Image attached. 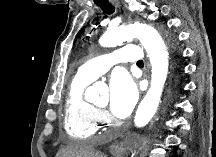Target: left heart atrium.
<instances>
[{"mask_svg":"<svg viewBox=\"0 0 216 157\" xmlns=\"http://www.w3.org/2000/svg\"><path fill=\"white\" fill-rule=\"evenodd\" d=\"M139 97L134 80L124 71L114 72L109 83V106L114 115L125 118L132 112Z\"/></svg>","mask_w":216,"mask_h":157,"instance_id":"obj_1","label":"left heart atrium"}]
</instances>
